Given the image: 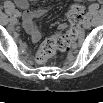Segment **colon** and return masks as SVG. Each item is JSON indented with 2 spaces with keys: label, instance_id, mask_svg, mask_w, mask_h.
<instances>
[{
  "label": "colon",
  "instance_id": "colon-1",
  "mask_svg": "<svg viewBox=\"0 0 103 103\" xmlns=\"http://www.w3.org/2000/svg\"><path fill=\"white\" fill-rule=\"evenodd\" d=\"M71 27L63 34L46 39L40 46L36 56L39 64H44L56 51H67L77 41L85 20V8L80 3L72 5L69 11Z\"/></svg>",
  "mask_w": 103,
  "mask_h": 103
}]
</instances>
